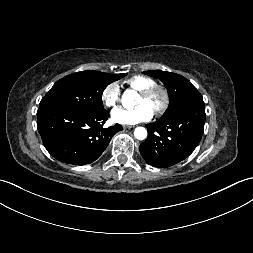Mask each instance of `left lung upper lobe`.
<instances>
[{"label":"left lung upper lobe","instance_id":"left-lung-upper-lobe-1","mask_svg":"<svg viewBox=\"0 0 253 253\" xmlns=\"http://www.w3.org/2000/svg\"><path fill=\"white\" fill-rule=\"evenodd\" d=\"M143 73L160 79L167 88L170 103L160 119L168 118L187 105L191 99L201 95L192 83L181 75L161 70L144 71Z\"/></svg>","mask_w":253,"mask_h":253}]
</instances>
